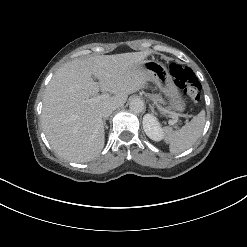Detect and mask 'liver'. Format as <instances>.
<instances>
[{
	"mask_svg": "<svg viewBox=\"0 0 247 247\" xmlns=\"http://www.w3.org/2000/svg\"><path fill=\"white\" fill-rule=\"evenodd\" d=\"M148 55L141 51L74 59L56 71L45 90L41 122L58 155L83 163L100 154L105 142L100 110L105 104L124 105L129 94L145 87L150 74L142 65ZM100 90L114 96L86 102Z\"/></svg>",
	"mask_w": 247,
	"mask_h": 247,
	"instance_id": "1",
	"label": "liver"
}]
</instances>
